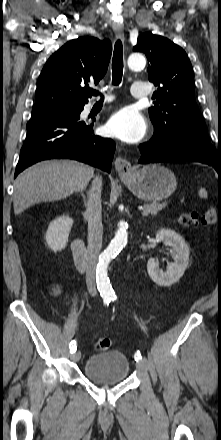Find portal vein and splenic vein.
I'll return each mask as SVG.
<instances>
[{"mask_svg": "<svg viewBox=\"0 0 221 440\" xmlns=\"http://www.w3.org/2000/svg\"><path fill=\"white\" fill-rule=\"evenodd\" d=\"M141 210H142V215L143 216H147L148 215V210H146V209H144V208H141Z\"/></svg>", "mask_w": 221, "mask_h": 440, "instance_id": "obj_1", "label": "portal vein and splenic vein"}]
</instances>
